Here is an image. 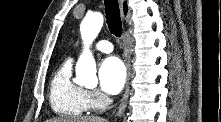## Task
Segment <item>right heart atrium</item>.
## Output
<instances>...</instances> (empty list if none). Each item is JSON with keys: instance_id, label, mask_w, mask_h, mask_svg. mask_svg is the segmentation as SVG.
Returning a JSON list of instances; mask_svg holds the SVG:
<instances>
[{"instance_id": "obj_1", "label": "right heart atrium", "mask_w": 221, "mask_h": 122, "mask_svg": "<svg viewBox=\"0 0 221 122\" xmlns=\"http://www.w3.org/2000/svg\"><path fill=\"white\" fill-rule=\"evenodd\" d=\"M85 96L90 109H100L108 103V99L98 91L85 90Z\"/></svg>"}]
</instances>
